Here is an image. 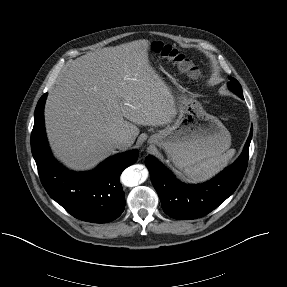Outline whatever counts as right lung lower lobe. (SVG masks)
<instances>
[{
  "label": "right lung lower lobe",
  "mask_w": 287,
  "mask_h": 287,
  "mask_svg": "<svg viewBox=\"0 0 287 287\" xmlns=\"http://www.w3.org/2000/svg\"><path fill=\"white\" fill-rule=\"evenodd\" d=\"M47 93L37 103L31 150L41 182L50 195L75 218L106 223L118 218L125 208V195L119 177L136 162L138 151L114 155L89 172H72L52 156L45 134L44 104Z\"/></svg>",
  "instance_id": "right-lung-lower-lobe-1"
}]
</instances>
